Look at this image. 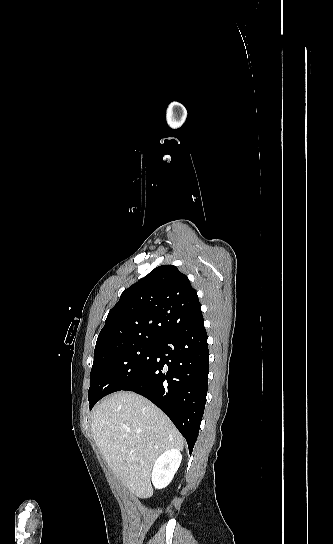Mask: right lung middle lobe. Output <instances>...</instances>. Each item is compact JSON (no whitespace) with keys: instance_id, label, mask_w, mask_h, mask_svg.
<instances>
[{"instance_id":"dd1d6c3e","label":"right lung middle lobe","mask_w":333,"mask_h":544,"mask_svg":"<svg viewBox=\"0 0 333 544\" xmlns=\"http://www.w3.org/2000/svg\"><path fill=\"white\" fill-rule=\"evenodd\" d=\"M157 340H138L95 354L88 391L90 409L104 396L135 380L153 359Z\"/></svg>"}]
</instances>
